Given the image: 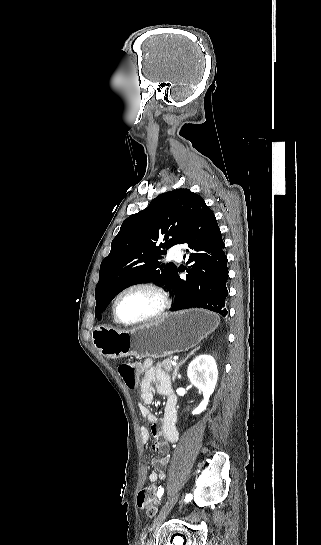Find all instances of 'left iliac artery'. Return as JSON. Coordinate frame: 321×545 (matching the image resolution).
Wrapping results in <instances>:
<instances>
[{
  "instance_id": "1",
  "label": "left iliac artery",
  "mask_w": 321,
  "mask_h": 545,
  "mask_svg": "<svg viewBox=\"0 0 321 545\" xmlns=\"http://www.w3.org/2000/svg\"><path fill=\"white\" fill-rule=\"evenodd\" d=\"M163 493H164V488L161 487V488L158 490V496L161 497V496L163 495Z\"/></svg>"
}]
</instances>
